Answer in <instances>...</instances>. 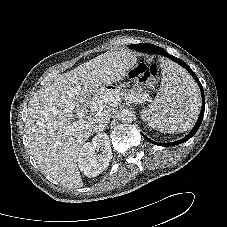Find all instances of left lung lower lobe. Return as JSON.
<instances>
[{"mask_svg": "<svg viewBox=\"0 0 227 227\" xmlns=\"http://www.w3.org/2000/svg\"><path fill=\"white\" fill-rule=\"evenodd\" d=\"M132 49L141 51V52H153V53H157V54H161L164 55L168 58H170L171 60L175 61L176 63L180 64L181 66H183L185 69L188 70V72L194 77V79L197 81L199 87H200V91L202 94V108H201V113L199 115V118L197 120L196 125L194 126V128L192 129V131L183 139L175 141V142H170V143H157L154 142L152 140H150L148 137H146L145 135H143L148 141H150L151 143L155 144V145H159V146H174V145H178L181 144L187 140H189L198 130V128L200 127L201 123H202V119L204 116V109H205V96H204V91L202 88V85L199 81V79L197 78V76L195 75V73L191 70V68L182 60H180L177 57L171 56L169 55L166 51H164L162 48L152 45V44H147V43H142V44H135V45H131Z\"/></svg>", "mask_w": 227, "mask_h": 227, "instance_id": "1", "label": "left lung lower lobe"}]
</instances>
